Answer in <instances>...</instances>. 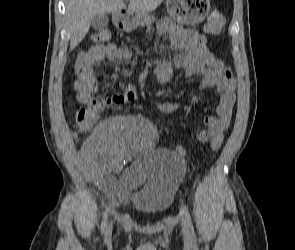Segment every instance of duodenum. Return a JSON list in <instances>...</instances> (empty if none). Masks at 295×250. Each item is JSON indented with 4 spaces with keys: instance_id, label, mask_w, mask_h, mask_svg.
I'll use <instances>...</instances> for the list:
<instances>
[{
    "instance_id": "duodenum-1",
    "label": "duodenum",
    "mask_w": 295,
    "mask_h": 250,
    "mask_svg": "<svg viewBox=\"0 0 295 250\" xmlns=\"http://www.w3.org/2000/svg\"><path fill=\"white\" fill-rule=\"evenodd\" d=\"M125 14H126V11L125 10H122L121 11V19H124L125 18Z\"/></svg>"
}]
</instances>
